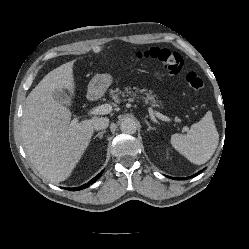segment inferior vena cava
Instances as JSON below:
<instances>
[{"instance_id": "1", "label": "inferior vena cava", "mask_w": 249, "mask_h": 249, "mask_svg": "<svg viewBox=\"0 0 249 249\" xmlns=\"http://www.w3.org/2000/svg\"><path fill=\"white\" fill-rule=\"evenodd\" d=\"M109 125V119L107 117L96 118L93 120L92 126L94 130L106 129Z\"/></svg>"}]
</instances>
